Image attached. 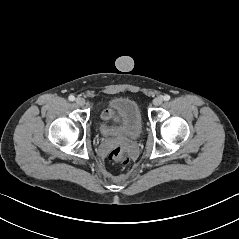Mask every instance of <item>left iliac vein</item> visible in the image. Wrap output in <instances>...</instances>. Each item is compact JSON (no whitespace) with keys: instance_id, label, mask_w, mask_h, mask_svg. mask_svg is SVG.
I'll return each instance as SVG.
<instances>
[{"instance_id":"left-iliac-vein-1","label":"left iliac vein","mask_w":239,"mask_h":239,"mask_svg":"<svg viewBox=\"0 0 239 239\" xmlns=\"http://www.w3.org/2000/svg\"><path fill=\"white\" fill-rule=\"evenodd\" d=\"M162 103H163V98L161 96H158L153 100V104L155 106H160Z\"/></svg>"}]
</instances>
